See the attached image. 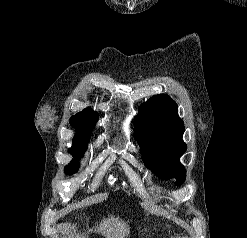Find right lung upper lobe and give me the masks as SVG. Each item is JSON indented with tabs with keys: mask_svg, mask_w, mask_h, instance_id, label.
<instances>
[{
	"mask_svg": "<svg viewBox=\"0 0 247 238\" xmlns=\"http://www.w3.org/2000/svg\"><path fill=\"white\" fill-rule=\"evenodd\" d=\"M98 114L91 108H86L71 118L70 124L78 134L74 136L72 144L87 146L89 134L97 122Z\"/></svg>",
	"mask_w": 247,
	"mask_h": 238,
	"instance_id": "cb5924a9",
	"label": "right lung upper lobe"
}]
</instances>
